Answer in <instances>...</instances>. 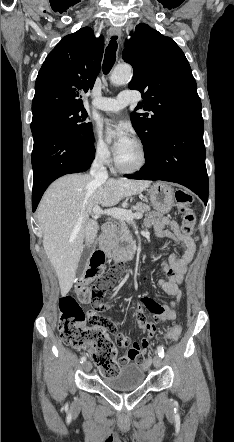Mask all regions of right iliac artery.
I'll use <instances>...</instances> for the list:
<instances>
[{
  "label": "right iliac artery",
  "instance_id": "82829eb1",
  "mask_svg": "<svg viewBox=\"0 0 234 442\" xmlns=\"http://www.w3.org/2000/svg\"><path fill=\"white\" fill-rule=\"evenodd\" d=\"M85 360H86L85 356H82L81 359H80L81 363H83Z\"/></svg>",
  "mask_w": 234,
  "mask_h": 442
}]
</instances>
